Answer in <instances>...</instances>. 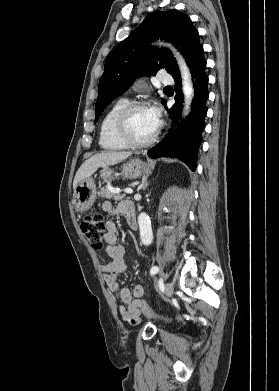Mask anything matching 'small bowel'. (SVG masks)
I'll list each match as a JSON object with an SVG mask.
<instances>
[{
    "mask_svg": "<svg viewBox=\"0 0 279 391\" xmlns=\"http://www.w3.org/2000/svg\"><path fill=\"white\" fill-rule=\"evenodd\" d=\"M132 205L128 201L119 203L116 207L111 202H104L102 209L108 215L115 213H125L126 207ZM106 247L105 251L110 258V261L101 266L104 273L105 282L109 290L117 294L119 299V313L130 324H138L140 322L139 301L144 296V289L141 285H135L132 290L121 289L116 278L126 269L124 247L119 243L118 230L114 221L106 222Z\"/></svg>",
    "mask_w": 279,
    "mask_h": 391,
    "instance_id": "small-bowel-1",
    "label": "small bowel"
}]
</instances>
